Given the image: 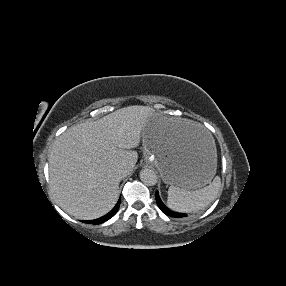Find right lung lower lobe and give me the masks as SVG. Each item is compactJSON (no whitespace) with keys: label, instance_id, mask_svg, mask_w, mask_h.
<instances>
[{"label":"right lung lower lobe","instance_id":"obj_1","mask_svg":"<svg viewBox=\"0 0 286 286\" xmlns=\"http://www.w3.org/2000/svg\"><path fill=\"white\" fill-rule=\"evenodd\" d=\"M120 206V200L118 201V203L116 204V206L106 215H104L101 218L95 219V220H90V221H85L88 224H100L103 223L107 220H109L110 218H112L118 211Z\"/></svg>","mask_w":286,"mask_h":286}]
</instances>
